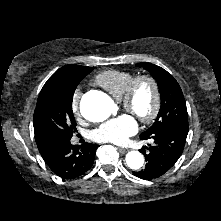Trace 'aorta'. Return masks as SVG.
Segmentation results:
<instances>
[{
  "instance_id": "762f6f07",
  "label": "aorta",
  "mask_w": 221,
  "mask_h": 221,
  "mask_svg": "<svg viewBox=\"0 0 221 221\" xmlns=\"http://www.w3.org/2000/svg\"><path fill=\"white\" fill-rule=\"evenodd\" d=\"M114 110L112 99L100 92L84 96L80 103L82 116L92 122L106 120ZM126 163L133 170L140 169L144 164L143 155L138 151H130L126 154Z\"/></svg>"
}]
</instances>
